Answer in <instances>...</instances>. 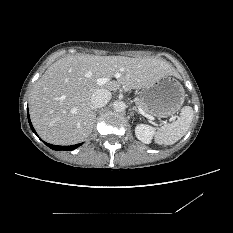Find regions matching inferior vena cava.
<instances>
[{
    "instance_id": "602c4592",
    "label": "inferior vena cava",
    "mask_w": 233,
    "mask_h": 233,
    "mask_svg": "<svg viewBox=\"0 0 233 233\" xmlns=\"http://www.w3.org/2000/svg\"><path fill=\"white\" fill-rule=\"evenodd\" d=\"M111 92L107 89H99L93 93L91 104L93 108L104 107L111 99Z\"/></svg>"
}]
</instances>
